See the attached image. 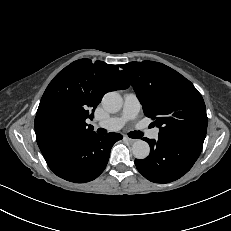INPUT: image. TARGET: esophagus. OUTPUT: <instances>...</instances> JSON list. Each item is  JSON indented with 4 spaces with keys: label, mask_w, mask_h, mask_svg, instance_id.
<instances>
[{
    "label": "esophagus",
    "mask_w": 231,
    "mask_h": 231,
    "mask_svg": "<svg viewBox=\"0 0 231 231\" xmlns=\"http://www.w3.org/2000/svg\"><path fill=\"white\" fill-rule=\"evenodd\" d=\"M124 139L130 144L135 143L137 141V139L129 138L127 136H125Z\"/></svg>",
    "instance_id": "obj_1"
}]
</instances>
